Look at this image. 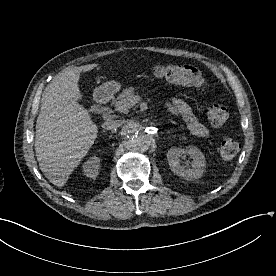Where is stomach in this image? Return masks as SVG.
Masks as SVG:
<instances>
[{"label":"stomach","mask_w":276,"mask_h":276,"mask_svg":"<svg viewBox=\"0 0 276 276\" xmlns=\"http://www.w3.org/2000/svg\"><path fill=\"white\" fill-rule=\"evenodd\" d=\"M120 88H121V85L116 81L106 82L100 85L99 87L95 88L94 96L98 98L112 96L117 91H119Z\"/></svg>","instance_id":"1"}]
</instances>
